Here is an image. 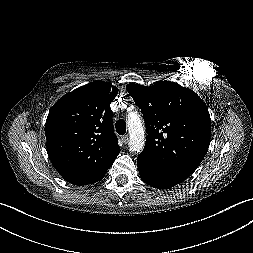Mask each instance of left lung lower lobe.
I'll return each mask as SVG.
<instances>
[{
    "label": "left lung lower lobe",
    "mask_w": 253,
    "mask_h": 253,
    "mask_svg": "<svg viewBox=\"0 0 253 253\" xmlns=\"http://www.w3.org/2000/svg\"><path fill=\"white\" fill-rule=\"evenodd\" d=\"M137 165L142 181L158 189L171 188L186 180L193 173L188 170L159 167L142 154L137 158Z\"/></svg>",
    "instance_id": "obj_1"
}]
</instances>
